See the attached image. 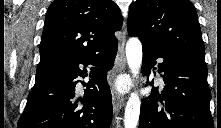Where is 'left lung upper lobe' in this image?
Instances as JSON below:
<instances>
[{"instance_id": "obj_1", "label": "left lung upper lobe", "mask_w": 221, "mask_h": 128, "mask_svg": "<svg viewBox=\"0 0 221 128\" xmlns=\"http://www.w3.org/2000/svg\"><path fill=\"white\" fill-rule=\"evenodd\" d=\"M127 30L142 44L206 65L197 13L189 0H136L129 7Z\"/></svg>"}]
</instances>
